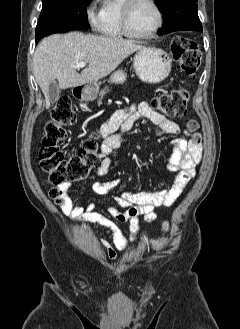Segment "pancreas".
<instances>
[{"instance_id":"1","label":"pancreas","mask_w":240,"mask_h":329,"mask_svg":"<svg viewBox=\"0 0 240 329\" xmlns=\"http://www.w3.org/2000/svg\"><path fill=\"white\" fill-rule=\"evenodd\" d=\"M110 91L109 88H105L100 91L99 96L100 98L98 99V104H101V100L103 99L104 95Z\"/></svg>"}]
</instances>
